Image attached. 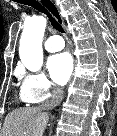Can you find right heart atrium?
Instances as JSON below:
<instances>
[{"label": "right heart atrium", "mask_w": 117, "mask_h": 136, "mask_svg": "<svg viewBox=\"0 0 117 136\" xmlns=\"http://www.w3.org/2000/svg\"><path fill=\"white\" fill-rule=\"evenodd\" d=\"M20 76L22 78L21 92L27 103H41L60 93L43 72H21Z\"/></svg>", "instance_id": "1"}]
</instances>
